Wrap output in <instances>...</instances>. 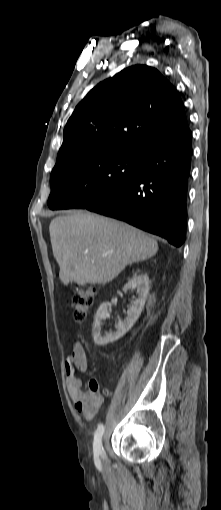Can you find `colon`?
<instances>
[{
    "label": "colon",
    "instance_id": "obj_1",
    "mask_svg": "<svg viewBox=\"0 0 221 510\" xmlns=\"http://www.w3.org/2000/svg\"><path fill=\"white\" fill-rule=\"evenodd\" d=\"M95 290L93 288H81L73 299V317L77 322H83L93 304ZM83 403L89 410H97L102 404L103 396L99 384L92 379L88 384V391L83 393Z\"/></svg>",
    "mask_w": 221,
    "mask_h": 510
}]
</instances>
